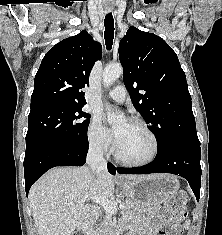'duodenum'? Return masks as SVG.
Returning <instances> with one entry per match:
<instances>
[{"label":"duodenum","mask_w":222,"mask_h":235,"mask_svg":"<svg viewBox=\"0 0 222 235\" xmlns=\"http://www.w3.org/2000/svg\"><path fill=\"white\" fill-rule=\"evenodd\" d=\"M98 213H99V210H98L97 208L93 209V210H92V213H91V217L96 216ZM80 228H81V231H82L85 235H89V231H88L89 226H88L87 223H83ZM109 235H114V234H109Z\"/></svg>","instance_id":"410a0bca"}]
</instances>
